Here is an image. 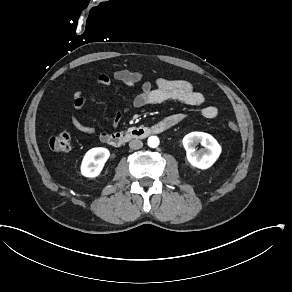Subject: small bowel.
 Returning <instances> with one entry per match:
<instances>
[{
  "mask_svg": "<svg viewBox=\"0 0 292 292\" xmlns=\"http://www.w3.org/2000/svg\"><path fill=\"white\" fill-rule=\"evenodd\" d=\"M112 79L123 82L127 86L133 87L142 82L141 91L134 97L130 106L124 109V113L147 106H153L168 101H179L188 105L200 108V113L204 118L214 119L218 116L219 110L212 105H206L204 95L197 91L194 86L186 80H168L158 78L155 86L144 80V74L140 71H130L126 69L116 70L112 77L101 73L96 77V83L101 86H111ZM88 101V97L81 91H76L73 95V110L71 113V123L73 127L84 134H96L95 127L87 125L80 119V112ZM122 113H118L114 118V125H117L121 119ZM187 118L185 113H175L162 119L158 124L168 130L182 123ZM108 132H101L99 139L101 142H107Z\"/></svg>",
  "mask_w": 292,
  "mask_h": 292,
  "instance_id": "1",
  "label": "small bowel"
}]
</instances>
